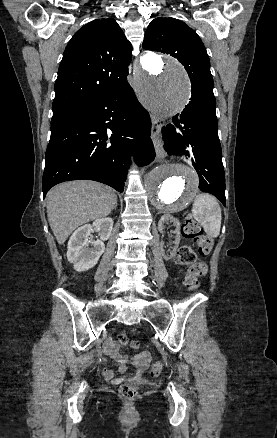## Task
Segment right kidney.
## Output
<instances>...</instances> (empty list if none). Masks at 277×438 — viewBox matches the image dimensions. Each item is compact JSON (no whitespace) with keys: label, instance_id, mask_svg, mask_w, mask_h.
Returning a JSON list of instances; mask_svg holds the SVG:
<instances>
[{"label":"right kidney","instance_id":"ca27d5eb","mask_svg":"<svg viewBox=\"0 0 277 438\" xmlns=\"http://www.w3.org/2000/svg\"><path fill=\"white\" fill-rule=\"evenodd\" d=\"M112 218H100L95 220L93 224H85L78 230H75L68 242L67 260L70 264H74L76 272H85L96 266L100 256L105 250V240H109L113 228ZM96 228L99 232V240L89 242V236ZM89 244L93 248H88Z\"/></svg>","mask_w":277,"mask_h":438}]
</instances>
